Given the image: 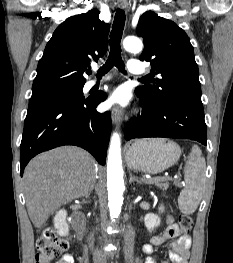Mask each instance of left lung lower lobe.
Listing matches in <instances>:
<instances>
[{
  "label": "left lung lower lobe",
  "instance_id": "left-lung-lower-lobe-1",
  "mask_svg": "<svg viewBox=\"0 0 233 263\" xmlns=\"http://www.w3.org/2000/svg\"><path fill=\"white\" fill-rule=\"evenodd\" d=\"M143 107L141 116L132 118L125 139L164 137L196 140L207 145V127L201 99L177 97L157 107L149 106L135 91Z\"/></svg>",
  "mask_w": 233,
  "mask_h": 263
}]
</instances>
